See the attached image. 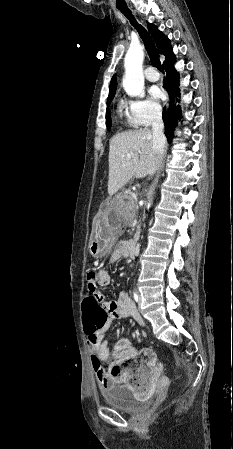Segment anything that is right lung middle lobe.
<instances>
[{
	"label": "right lung middle lobe",
	"mask_w": 233,
	"mask_h": 449,
	"mask_svg": "<svg viewBox=\"0 0 233 449\" xmlns=\"http://www.w3.org/2000/svg\"><path fill=\"white\" fill-rule=\"evenodd\" d=\"M114 95H115V94H112V95H109V96H108V101H107V105H108V106H109L111 100L113 99ZM106 126H107V127H110V126H111V117H110V111H109L108 108H107V110H106Z\"/></svg>",
	"instance_id": "1"
}]
</instances>
